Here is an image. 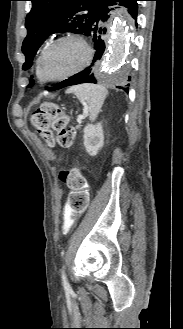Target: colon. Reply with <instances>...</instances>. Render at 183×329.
I'll return each mask as SVG.
<instances>
[{"mask_svg": "<svg viewBox=\"0 0 183 329\" xmlns=\"http://www.w3.org/2000/svg\"><path fill=\"white\" fill-rule=\"evenodd\" d=\"M30 121L47 145L53 146L57 142L64 149L72 147L75 131L68 125V115L58 105L42 104L33 111ZM59 179L70 190L67 206H63L64 214L61 215V220L65 221L62 234L67 235L73 226L74 218L83 217L89 202V191L85 178L76 168L61 171Z\"/></svg>", "mask_w": 183, "mask_h": 329, "instance_id": "colon-1", "label": "colon"}]
</instances>
